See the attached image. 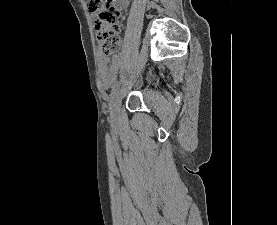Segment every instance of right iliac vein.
<instances>
[{
  "mask_svg": "<svg viewBox=\"0 0 277 225\" xmlns=\"http://www.w3.org/2000/svg\"><path fill=\"white\" fill-rule=\"evenodd\" d=\"M120 102H121V96L120 93H117L113 100H112V104H111V119L115 120L119 114V110H120Z\"/></svg>",
  "mask_w": 277,
  "mask_h": 225,
  "instance_id": "1",
  "label": "right iliac vein"
}]
</instances>
